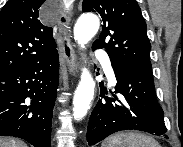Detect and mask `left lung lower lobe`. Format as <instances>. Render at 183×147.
Masks as SVG:
<instances>
[{
  "instance_id": "left-lung-lower-lobe-1",
  "label": "left lung lower lobe",
  "mask_w": 183,
  "mask_h": 147,
  "mask_svg": "<svg viewBox=\"0 0 183 147\" xmlns=\"http://www.w3.org/2000/svg\"><path fill=\"white\" fill-rule=\"evenodd\" d=\"M111 63L118 83L115 92H111L113 98L104 97V85L100 83V93L104 99L98 101L89 119V145L122 130H140L164 135L167 129L163 110L156 99L153 76L126 65L113 61Z\"/></svg>"
}]
</instances>
